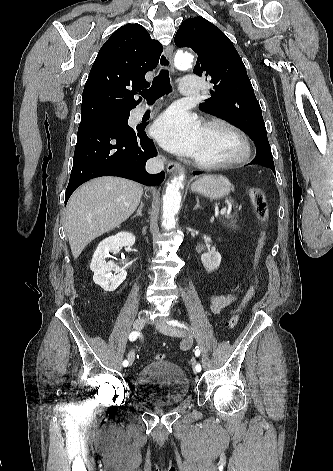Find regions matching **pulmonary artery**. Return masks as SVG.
Listing matches in <instances>:
<instances>
[{"label":"pulmonary artery","mask_w":333,"mask_h":471,"mask_svg":"<svg viewBox=\"0 0 333 471\" xmlns=\"http://www.w3.org/2000/svg\"><path fill=\"white\" fill-rule=\"evenodd\" d=\"M201 88L200 79L197 76L190 75L186 76L181 81V93L186 96H192L199 93ZM146 108H141L140 112H144Z\"/></svg>","instance_id":"obj_1"}]
</instances>
